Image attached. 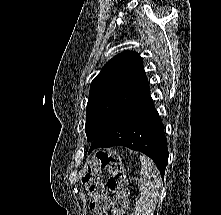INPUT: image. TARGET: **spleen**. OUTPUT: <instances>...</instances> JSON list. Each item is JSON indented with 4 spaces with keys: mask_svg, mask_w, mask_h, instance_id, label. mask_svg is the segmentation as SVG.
<instances>
[{
    "mask_svg": "<svg viewBox=\"0 0 221 215\" xmlns=\"http://www.w3.org/2000/svg\"><path fill=\"white\" fill-rule=\"evenodd\" d=\"M141 171L138 189L140 198L134 207L135 215H153L160 197L162 180L154 162L145 155L140 156Z\"/></svg>",
    "mask_w": 221,
    "mask_h": 215,
    "instance_id": "1",
    "label": "spleen"
}]
</instances>
